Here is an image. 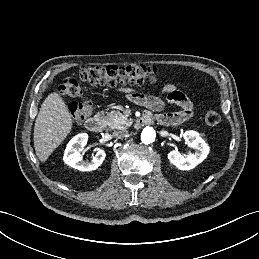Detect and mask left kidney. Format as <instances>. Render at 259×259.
<instances>
[{
	"label": "left kidney",
	"mask_w": 259,
	"mask_h": 259,
	"mask_svg": "<svg viewBox=\"0 0 259 259\" xmlns=\"http://www.w3.org/2000/svg\"><path fill=\"white\" fill-rule=\"evenodd\" d=\"M183 137L188 146L195 149V153L183 156L178 150H173L168 153V159L178 169L190 170L207 158L209 146L196 131H186Z\"/></svg>",
	"instance_id": "left-kidney-1"
}]
</instances>
